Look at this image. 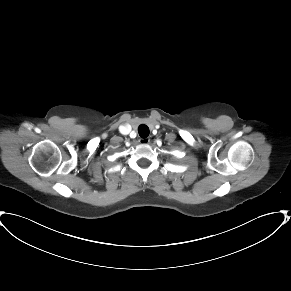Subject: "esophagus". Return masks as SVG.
<instances>
[{
    "instance_id": "34e87169",
    "label": "esophagus",
    "mask_w": 291,
    "mask_h": 291,
    "mask_svg": "<svg viewBox=\"0 0 291 291\" xmlns=\"http://www.w3.org/2000/svg\"><path fill=\"white\" fill-rule=\"evenodd\" d=\"M150 142L149 138H140L139 143L140 144H148Z\"/></svg>"
}]
</instances>
